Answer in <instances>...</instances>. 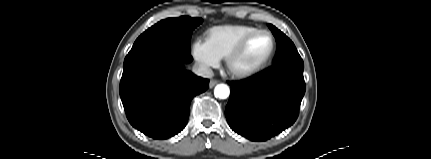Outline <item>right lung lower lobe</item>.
I'll return each mask as SVG.
<instances>
[{"label": "right lung lower lobe", "mask_w": 431, "mask_h": 159, "mask_svg": "<svg viewBox=\"0 0 431 159\" xmlns=\"http://www.w3.org/2000/svg\"><path fill=\"white\" fill-rule=\"evenodd\" d=\"M190 51L168 42L134 47L125 58L120 97L131 125L153 139H168L188 121L192 99L209 80L184 68Z\"/></svg>", "instance_id": "obj_1"}]
</instances>
